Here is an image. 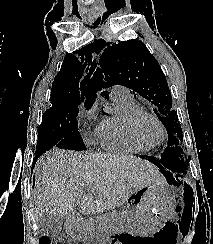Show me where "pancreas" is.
<instances>
[{"label": "pancreas", "instance_id": "obj_1", "mask_svg": "<svg viewBox=\"0 0 213 244\" xmlns=\"http://www.w3.org/2000/svg\"><path fill=\"white\" fill-rule=\"evenodd\" d=\"M87 230H88V232H90V233H95V228L94 227H89V228H87Z\"/></svg>", "mask_w": 213, "mask_h": 244}]
</instances>
